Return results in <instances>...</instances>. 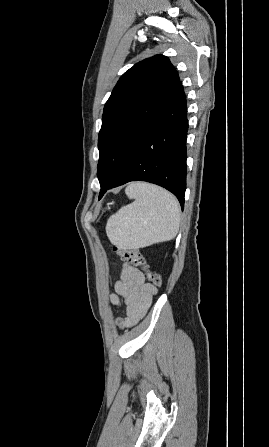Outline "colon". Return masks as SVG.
Returning a JSON list of instances; mask_svg holds the SVG:
<instances>
[{
    "label": "colon",
    "mask_w": 269,
    "mask_h": 447,
    "mask_svg": "<svg viewBox=\"0 0 269 447\" xmlns=\"http://www.w3.org/2000/svg\"><path fill=\"white\" fill-rule=\"evenodd\" d=\"M113 250L121 260L144 271L147 279L153 286L155 287L161 286L162 284L161 276L157 272L150 269V267L146 263L144 255L139 250L120 249L115 246Z\"/></svg>",
    "instance_id": "colon-1"
}]
</instances>
